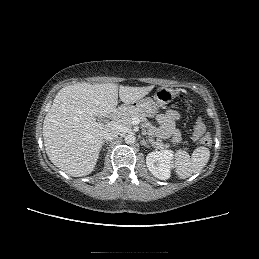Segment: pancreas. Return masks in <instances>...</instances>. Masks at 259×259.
I'll use <instances>...</instances> for the list:
<instances>
[{"label":"pancreas","instance_id":"1","mask_svg":"<svg viewBox=\"0 0 259 259\" xmlns=\"http://www.w3.org/2000/svg\"><path fill=\"white\" fill-rule=\"evenodd\" d=\"M135 117L141 121H146L147 115L141 110L135 108H123L118 113V121L123 127H130L132 125V119ZM149 142L153 147L158 149L169 147L168 144L164 145L162 143L155 142L151 137H149Z\"/></svg>","mask_w":259,"mask_h":259}]
</instances>
